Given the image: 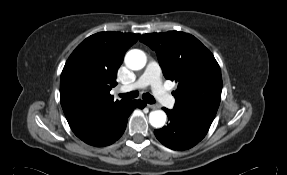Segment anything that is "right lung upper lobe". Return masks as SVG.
<instances>
[{"label":"right lung upper lobe","mask_w":287,"mask_h":175,"mask_svg":"<svg viewBox=\"0 0 287 175\" xmlns=\"http://www.w3.org/2000/svg\"><path fill=\"white\" fill-rule=\"evenodd\" d=\"M139 34L100 32L86 38L70 55L60 80V101L70 128L80 136L101 123L127 100L110 95L124 54Z\"/></svg>","instance_id":"cb5924a9"}]
</instances>
